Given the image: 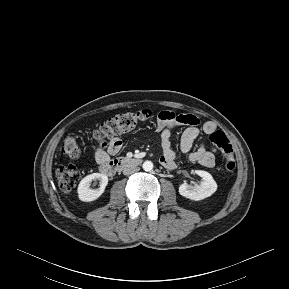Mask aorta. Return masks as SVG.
I'll return each mask as SVG.
<instances>
[{"mask_svg":"<svg viewBox=\"0 0 289 289\" xmlns=\"http://www.w3.org/2000/svg\"><path fill=\"white\" fill-rule=\"evenodd\" d=\"M143 170L151 171L153 169V163L151 161H145L142 165Z\"/></svg>","mask_w":289,"mask_h":289,"instance_id":"762f6f07","label":"aorta"}]
</instances>
